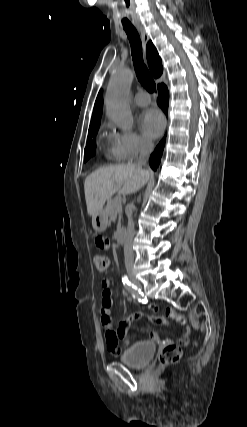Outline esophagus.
<instances>
[{
	"label": "esophagus",
	"mask_w": 247,
	"mask_h": 427,
	"mask_svg": "<svg viewBox=\"0 0 247 427\" xmlns=\"http://www.w3.org/2000/svg\"><path fill=\"white\" fill-rule=\"evenodd\" d=\"M137 30L141 36L142 45H143V49H144V53H145L146 45L149 41V35L147 34L145 28L142 25H137Z\"/></svg>",
	"instance_id": "esophagus-1"
}]
</instances>
